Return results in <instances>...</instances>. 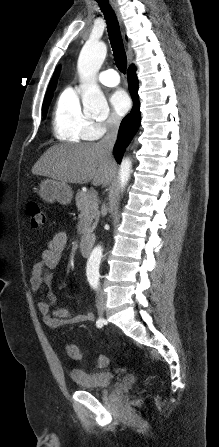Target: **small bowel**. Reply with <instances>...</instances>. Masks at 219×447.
Returning a JSON list of instances; mask_svg holds the SVG:
<instances>
[{
    "label": "small bowel",
    "instance_id": "1",
    "mask_svg": "<svg viewBox=\"0 0 219 447\" xmlns=\"http://www.w3.org/2000/svg\"><path fill=\"white\" fill-rule=\"evenodd\" d=\"M67 243V236L64 232L56 233L47 243L46 249L42 252L40 260L33 264L29 276L31 291L38 293L43 285L50 286L52 282L51 271L61 262ZM49 301L38 303V309L42 315L44 323L49 328H59L65 325L91 322L95 316L91 311L74 314L65 308L53 309L56 297L53 292L48 291Z\"/></svg>",
    "mask_w": 219,
    "mask_h": 447
}]
</instances>
